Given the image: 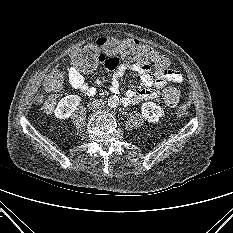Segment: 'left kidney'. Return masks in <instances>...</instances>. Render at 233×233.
Segmentation results:
<instances>
[{
    "mask_svg": "<svg viewBox=\"0 0 233 233\" xmlns=\"http://www.w3.org/2000/svg\"><path fill=\"white\" fill-rule=\"evenodd\" d=\"M143 117L151 123H156L164 116V110L154 102H145L141 106Z\"/></svg>",
    "mask_w": 233,
    "mask_h": 233,
    "instance_id": "left-kidney-1",
    "label": "left kidney"
}]
</instances>
